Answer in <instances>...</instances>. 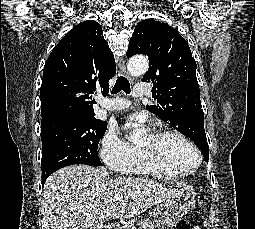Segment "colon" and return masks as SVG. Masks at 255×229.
Here are the masks:
<instances>
[{"label": "colon", "instance_id": "1", "mask_svg": "<svg viewBox=\"0 0 255 229\" xmlns=\"http://www.w3.org/2000/svg\"><path fill=\"white\" fill-rule=\"evenodd\" d=\"M173 229H194V228L189 221L180 220L174 225Z\"/></svg>", "mask_w": 255, "mask_h": 229}]
</instances>
